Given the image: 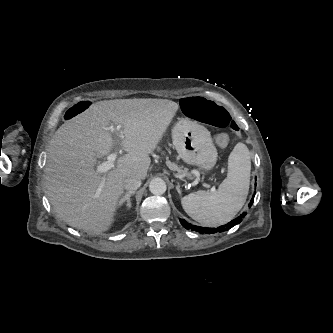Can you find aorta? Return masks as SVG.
I'll return each instance as SVG.
<instances>
[{
  "mask_svg": "<svg viewBox=\"0 0 333 333\" xmlns=\"http://www.w3.org/2000/svg\"><path fill=\"white\" fill-rule=\"evenodd\" d=\"M166 183L161 178H154L149 185V190L154 195H162L166 192Z\"/></svg>",
  "mask_w": 333,
  "mask_h": 333,
  "instance_id": "762f6f07",
  "label": "aorta"
}]
</instances>
